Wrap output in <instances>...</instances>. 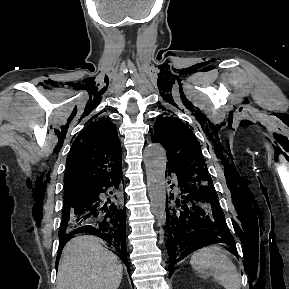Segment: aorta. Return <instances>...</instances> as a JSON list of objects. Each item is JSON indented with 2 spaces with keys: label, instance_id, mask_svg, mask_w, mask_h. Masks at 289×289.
I'll return each mask as SVG.
<instances>
[{
  "label": "aorta",
  "instance_id": "obj_1",
  "mask_svg": "<svg viewBox=\"0 0 289 289\" xmlns=\"http://www.w3.org/2000/svg\"><path fill=\"white\" fill-rule=\"evenodd\" d=\"M148 195L151 209L156 219L166 223V186L165 171L167 156L165 149L156 143L149 144L144 150Z\"/></svg>",
  "mask_w": 289,
  "mask_h": 289
}]
</instances>
